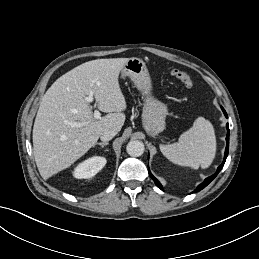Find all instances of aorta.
Returning <instances> with one entry per match:
<instances>
[{
    "instance_id": "1",
    "label": "aorta",
    "mask_w": 259,
    "mask_h": 259,
    "mask_svg": "<svg viewBox=\"0 0 259 259\" xmlns=\"http://www.w3.org/2000/svg\"><path fill=\"white\" fill-rule=\"evenodd\" d=\"M144 144L141 141L133 140L127 144V153L132 157H139L144 153Z\"/></svg>"
}]
</instances>
